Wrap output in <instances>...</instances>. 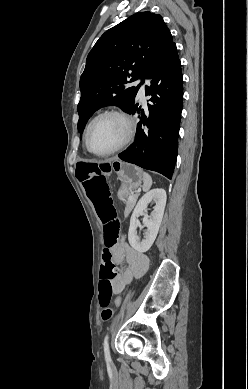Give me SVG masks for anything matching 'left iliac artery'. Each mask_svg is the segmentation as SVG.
I'll list each match as a JSON object with an SVG mask.
<instances>
[{
	"mask_svg": "<svg viewBox=\"0 0 248 389\" xmlns=\"http://www.w3.org/2000/svg\"><path fill=\"white\" fill-rule=\"evenodd\" d=\"M103 346H104V354H105L106 361H111L109 344H108V335L105 336Z\"/></svg>",
	"mask_w": 248,
	"mask_h": 389,
	"instance_id": "44dca946",
	"label": "left iliac artery"
}]
</instances>
